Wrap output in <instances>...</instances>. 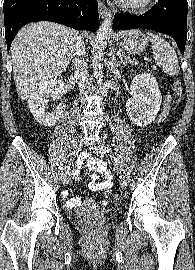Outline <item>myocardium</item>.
Listing matches in <instances>:
<instances>
[{
	"mask_svg": "<svg viewBox=\"0 0 195 270\" xmlns=\"http://www.w3.org/2000/svg\"><path fill=\"white\" fill-rule=\"evenodd\" d=\"M117 3L125 8L132 11H144L150 8L154 0H141V1H129V0H116Z\"/></svg>",
	"mask_w": 195,
	"mask_h": 270,
	"instance_id": "obj_1",
	"label": "myocardium"
}]
</instances>
